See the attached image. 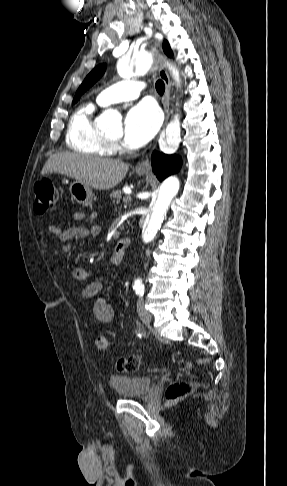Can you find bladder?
<instances>
[{
  "label": "bladder",
  "instance_id": "obj_1",
  "mask_svg": "<svg viewBox=\"0 0 287 486\" xmlns=\"http://www.w3.org/2000/svg\"><path fill=\"white\" fill-rule=\"evenodd\" d=\"M153 380L148 376H114L110 385L116 394L122 398H134L146 395L152 387Z\"/></svg>",
  "mask_w": 287,
  "mask_h": 486
}]
</instances>
